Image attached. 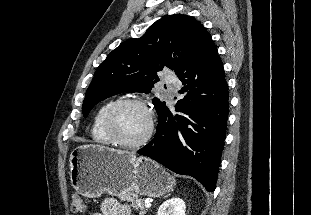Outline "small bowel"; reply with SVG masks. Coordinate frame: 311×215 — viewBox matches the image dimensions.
Here are the masks:
<instances>
[{"label":"small bowel","instance_id":"obj_1","mask_svg":"<svg viewBox=\"0 0 311 215\" xmlns=\"http://www.w3.org/2000/svg\"><path fill=\"white\" fill-rule=\"evenodd\" d=\"M92 215H131V209L114 198H106L102 203L101 211Z\"/></svg>","mask_w":311,"mask_h":215}]
</instances>
